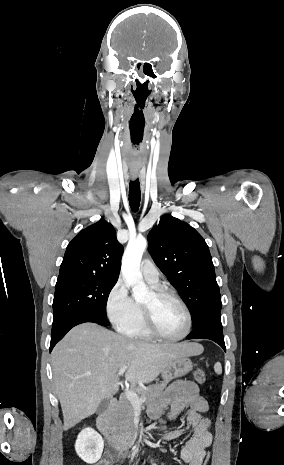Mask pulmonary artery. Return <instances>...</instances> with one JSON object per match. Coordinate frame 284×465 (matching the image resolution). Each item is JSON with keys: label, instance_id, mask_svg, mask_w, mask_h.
<instances>
[{"label": "pulmonary artery", "instance_id": "pulmonary-artery-1", "mask_svg": "<svg viewBox=\"0 0 284 465\" xmlns=\"http://www.w3.org/2000/svg\"><path fill=\"white\" fill-rule=\"evenodd\" d=\"M141 274L144 280L151 285L157 286L159 284L160 273L154 264L145 260L141 265Z\"/></svg>", "mask_w": 284, "mask_h": 465}]
</instances>
